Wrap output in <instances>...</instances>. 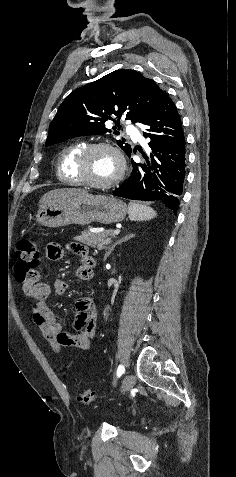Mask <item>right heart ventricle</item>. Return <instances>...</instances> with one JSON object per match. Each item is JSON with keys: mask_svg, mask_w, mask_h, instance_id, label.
<instances>
[{"mask_svg": "<svg viewBox=\"0 0 236 477\" xmlns=\"http://www.w3.org/2000/svg\"><path fill=\"white\" fill-rule=\"evenodd\" d=\"M82 142H77L65 147L58 157L56 173L58 179L69 185L82 184L76 174L75 166L77 157L84 149Z\"/></svg>", "mask_w": 236, "mask_h": 477, "instance_id": "1", "label": "right heart ventricle"}]
</instances>
